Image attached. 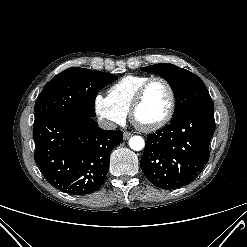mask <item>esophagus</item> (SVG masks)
Listing matches in <instances>:
<instances>
[{"label": "esophagus", "instance_id": "1", "mask_svg": "<svg viewBox=\"0 0 247 247\" xmlns=\"http://www.w3.org/2000/svg\"><path fill=\"white\" fill-rule=\"evenodd\" d=\"M131 136H132V134H131L130 132H124V133H123V139H124V140L129 139Z\"/></svg>", "mask_w": 247, "mask_h": 247}]
</instances>
